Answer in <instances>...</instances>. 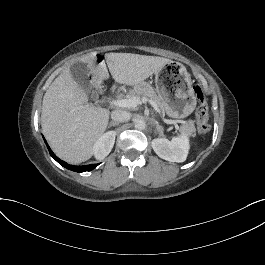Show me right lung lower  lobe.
<instances>
[{
    "label": "right lung lower lobe",
    "instance_id": "98d812e1",
    "mask_svg": "<svg viewBox=\"0 0 265 265\" xmlns=\"http://www.w3.org/2000/svg\"><path fill=\"white\" fill-rule=\"evenodd\" d=\"M45 141V139H44ZM47 148L49 150L50 155L62 166H64L65 168L75 171V172H85V171H90L93 170L94 168H96L98 166V164H91V165H85V166H73V165H69L67 163H65L64 161L60 160L57 156H55V154L52 152V150L50 149V147L48 146L47 142L45 141Z\"/></svg>",
    "mask_w": 265,
    "mask_h": 265
}]
</instances>
